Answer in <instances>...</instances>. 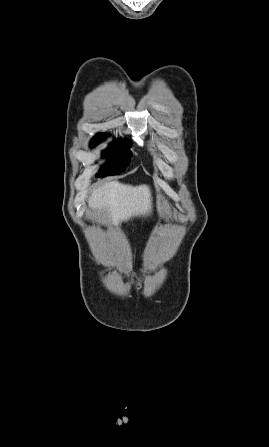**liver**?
<instances>
[{"label": "liver", "instance_id": "obj_1", "mask_svg": "<svg viewBox=\"0 0 269 447\" xmlns=\"http://www.w3.org/2000/svg\"><path fill=\"white\" fill-rule=\"evenodd\" d=\"M89 208L104 210L109 224L118 225L133 216H148L152 212L151 192L148 186H126L120 182H107L93 190Z\"/></svg>", "mask_w": 269, "mask_h": 447}]
</instances>
